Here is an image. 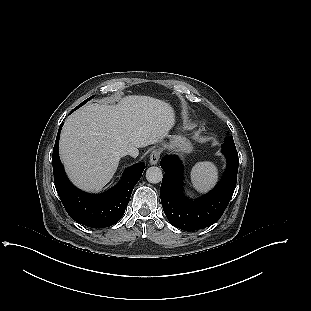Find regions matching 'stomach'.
<instances>
[{
    "label": "stomach",
    "instance_id": "0dacf381",
    "mask_svg": "<svg viewBox=\"0 0 311 311\" xmlns=\"http://www.w3.org/2000/svg\"><path fill=\"white\" fill-rule=\"evenodd\" d=\"M169 147L174 150L177 151L181 154H187L191 151L192 146L191 144L184 138H182L181 136H173L172 138H170V145Z\"/></svg>",
    "mask_w": 311,
    "mask_h": 311
}]
</instances>
